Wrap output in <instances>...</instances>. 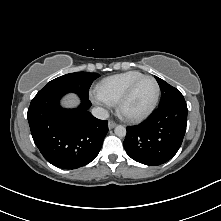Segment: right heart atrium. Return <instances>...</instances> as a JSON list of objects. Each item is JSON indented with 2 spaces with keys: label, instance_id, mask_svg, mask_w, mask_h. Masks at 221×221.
Returning a JSON list of instances; mask_svg holds the SVG:
<instances>
[{
  "label": "right heart atrium",
  "instance_id": "1",
  "mask_svg": "<svg viewBox=\"0 0 221 221\" xmlns=\"http://www.w3.org/2000/svg\"><path fill=\"white\" fill-rule=\"evenodd\" d=\"M93 100L97 103V104H106L107 102H105L102 98H100L98 95H94L93 96Z\"/></svg>",
  "mask_w": 221,
  "mask_h": 221
}]
</instances>
